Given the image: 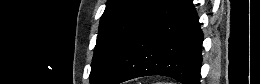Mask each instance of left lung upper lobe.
<instances>
[{"label":"left lung upper lobe","mask_w":260,"mask_h":84,"mask_svg":"<svg viewBox=\"0 0 260 84\" xmlns=\"http://www.w3.org/2000/svg\"><path fill=\"white\" fill-rule=\"evenodd\" d=\"M158 1L108 0L91 64V84H103L117 58Z\"/></svg>","instance_id":"left-lung-upper-lobe-1"}]
</instances>
